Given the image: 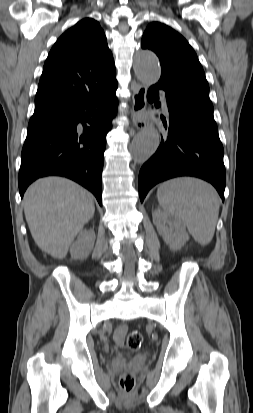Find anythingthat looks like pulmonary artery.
I'll use <instances>...</instances> for the list:
<instances>
[{"label": "pulmonary artery", "mask_w": 253, "mask_h": 413, "mask_svg": "<svg viewBox=\"0 0 253 413\" xmlns=\"http://www.w3.org/2000/svg\"><path fill=\"white\" fill-rule=\"evenodd\" d=\"M163 105L166 106V102L164 99H162Z\"/></svg>", "instance_id": "e3ab8cb5"}]
</instances>
